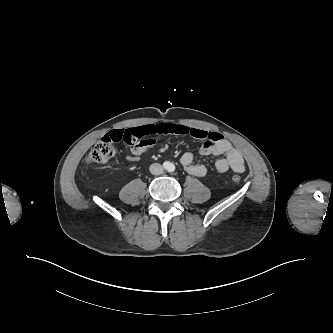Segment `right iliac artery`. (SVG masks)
I'll use <instances>...</instances> for the list:
<instances>
[{"label": "right iliac artery", "instance_id": "1", "mask_svg": "<svg viewBox=\"0 0 333 333\" xmlns=\"http://www.w3.org/2000/svg\"><path fill=\"white\" fill-rule=\"evenodd\" d=\"M163 166H164L165 168H167V167H168V163L165 162V163L163 164Z\"/></svg>", "mask_w": 333, "mask_h": 333}]
</instances>
